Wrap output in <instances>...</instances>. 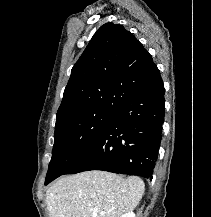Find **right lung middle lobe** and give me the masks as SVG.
I'll use <instances>...</instances> for the list:
<instances>
[{
	"label": "right lung middle lobe",
	"instance_id": "right-lung-middle-lobe-1",
	"mask_svg": "<svg viewBox=\"0 0 211 217\" xmlns=\"http://www.w3.org/2000/svg\"><path fill=\"white\" fill-rule=\"evenodd\" d=\"M117 111H96L55 126L52 158L46 181L64 174L99 139Z\"/></svg>",
	"mask_w": 211,
	"mask_h": 217
}]
</instances>
